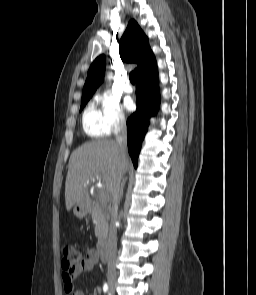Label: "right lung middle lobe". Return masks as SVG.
<instances>
[{
  "label": "right lung middle lobe",
  "mask_w": 256,
  "mask_h": 295,
  "mask_svg": "<svg viewBox=\"0 0 256 295\" xmlns=\"http://www.w3.org/2000/svg\"><path fill=\"white\" fill-rule=\"evenodd\" d=\"M91 97H82L80 111L84 108Z\"/></svg>",
  "instance_id": "obj_1"
}]
</instances>
